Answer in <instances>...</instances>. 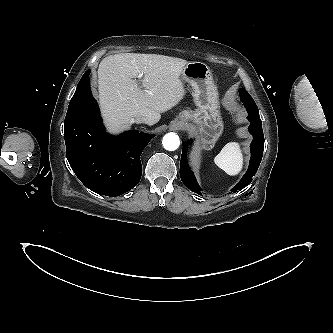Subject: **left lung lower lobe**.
I'll use <instances>...</instances> for the list:
<instances>
[{
    "instance_id": "obj_1",
    "label": "left lung lower lobe",
    "mask_w": 333,
    "mask_h": 333,
    "mask_svg": "<svg viewBox=\"0 0 333 333\" xmlns=\"http://www.w3.org/2000/svg\"><path fill=\"white\" fill-rule=\"evenodd\" d=\"M241 101L245 105L248 112V119L251 121L249 126V132L254 136V140L251 143V159L247 173L243 176L241 181L232 188L231 191H236L242 187H246L251 181L252 177L256 174L258 166L260 165L263 149H264V135L262 131V122L259 117V111L257 105L251 96H240ZM186 143L183 142V151L180 162V175L182 182L193 192L201 195V188L198 185L193 172L188 166L186 160Z\"/></svg>"
}]
</instances>
